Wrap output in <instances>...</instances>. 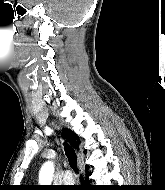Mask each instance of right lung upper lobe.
<instances>
[{
    "mask_svg": "<svg viewBox=\"0 0 165 190\" xmlns=\"http://www.w3.org/2000/svg\"><path fill=\"white\" fill-rule=\"evenodd\" d=\"M63 136L70 142V144L75 149H79L80 140L74 132H72L71 130H64Z\"/></svg>",
    "mask_w": 165,
    "mask_h": 190,
    "instance_id": "cb5924a9",
    "label": "right lung upper lobe"
}]
</instances>
